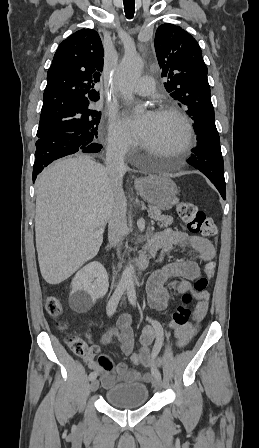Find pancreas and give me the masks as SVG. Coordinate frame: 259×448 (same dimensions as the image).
<instances>
[{"instance_id":"obj_1","label":"pancreas","mask_w":259,"mask_h":448,"mask_svg":"<svg viewBox=\"0 0 259 448\" xmlns=\"http://www.w3.org/2000/svg\"><path fill=\"white\" fill-rule=\"evenodd\" d=\"M148 216L157 222L159 228H168L173 222L172 216H162V212L157 208H149Z\"/></svg>"}]
</instances>
